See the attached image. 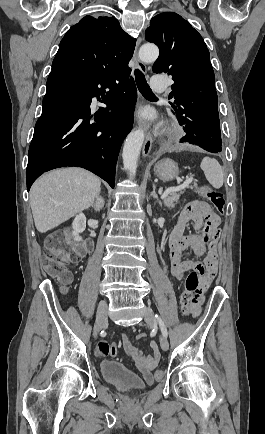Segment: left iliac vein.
Segmentation results:
<instances>
[{
	"mask_svg": "<svg viewBox=\"0 0 265 434\" xmlns=\"http://www.w3.org/2000/svg\"><path fill=\"white\" fill-rule=\"evenodd\" d=\"M144 319H145L146 324L151 325V326L154 325V321H155L154 313L149 306H145ZM160 346H161L162 350L168 349L169 344H168V341L164 335H160Z\"/></svg>",
	"mask_w": 265,
	"mask_h": 434,
	"instance_id": "1",
	"label": "left iliac vein"
}]
</instances>
